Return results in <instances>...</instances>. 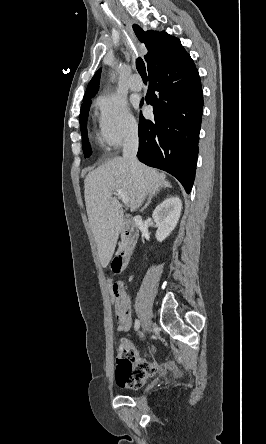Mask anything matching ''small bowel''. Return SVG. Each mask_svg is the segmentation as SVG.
Here are the masks:
<instances>
[{
	"label": "small bowel",
	"mask_w": 266,
	"mask_h": 444,
	"mask_svg": "<svg viewBox=\"0 0 266 444\" xmlns=\"http://www.w3.org/2000/svg\"><path fill=\"white\" fill-rule=\"evenodd\" d=\"M115 309L118 330L126 332L130 329L131 301L124 292L121 302ZM175 363L171 360L152 361L141 358L137 355L134 346L127 340L122 339L118 345L116 360L115 379L119 387L138 389L144 385L146 380L161 370H174Z\"/></svg>",
	"instance_id": "obj_1"
}]
</instances>
